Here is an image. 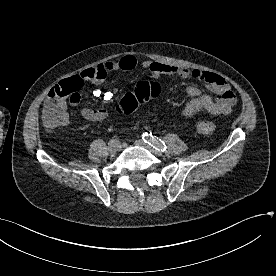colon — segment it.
Listing matches in <instances>:
<instances>
[{"instance_id":"obj_1","label":"colon","mask_w":276,"mask_h":276,"mask_svg":"<svg viewBox=\"0 0 276 276\" xmlns=\"http://www.w3.org/2000/svg\"><path fill=\"white\" fill-rule=\"evenodd\" d=\"M83 81L79 78H69L56 84L49 92V107L43 110L44 125L48 129L62 127L67 123V114L63 104L66 99H78ZM161 87L153 81L139 82L133 92L126 93L117 104V110L122 114L134 112L139 105L160 95ZM197 133L208 135L216 131L217 125L213 120L202 119L195 124Z\"/></svg>"}]
</instances>
